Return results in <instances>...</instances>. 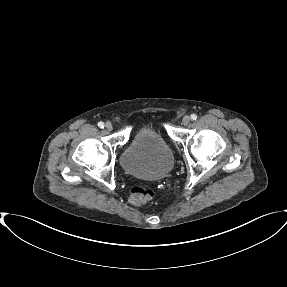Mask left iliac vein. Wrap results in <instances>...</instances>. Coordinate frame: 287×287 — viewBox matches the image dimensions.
I'll return each mask as SVG.
<instances>
[{"instance_id":"left-iliac-vein-1","label":"left iliac vein","mask_w":287,"mask_h":287,"mask_svg":"<svg viewBox=\"0 0 287 287\" xmlns=\"http://www.w3.org/2000/svg\"><path fill=\"white\" fill-rule=\"evenodd\" d=\"M190 117L189 116H184L182 119L183 125H188L190 123Z\"/></svg>"}]
</instances>
